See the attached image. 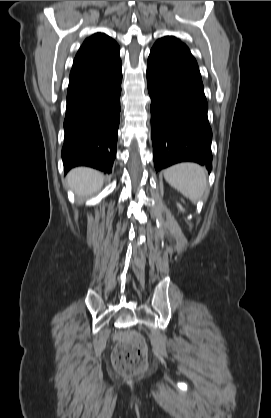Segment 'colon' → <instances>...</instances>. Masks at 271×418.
I'll return each instance as SVG.
<instances>
[{
    "mask_svg": "<svg viewBox=\"0 0 271 418\" xmlns=\"http://www.w3.org/2000/svg\"><path fill=\"white\" fill-rule=\"evenodd\" d=\"M112 363L121 374H135L147 366V348L144 339L136 333L117 336V345L112 354Z\"/></svg>",
    "mask_w": 271,
    "mask_h": 418,
    "instance_id": "5ec220e1",
    "label": "colon"
}]
</instances>
